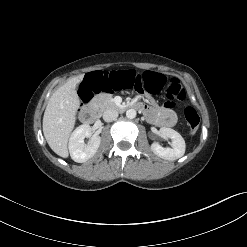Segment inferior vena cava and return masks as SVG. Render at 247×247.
Returning <instances> with one entry per match:
<instances>
[{
	"label": "inferior vena cava",
	"mask_w": 247,
	"mask_h": 247,
	"mask_svg": "<svg viewBox=\"0 0 247 247\" xmlns=\"http://www.w3.org/2000/svg\"><path fill=\"white\" fill-rule=\"evenodd\" d=\"M118 112L114 109H106L103 113V119L106 122H112L113 120L117 119Z\"/></svg>",
	"instance_id": "602c4592"
}]
</instances>
